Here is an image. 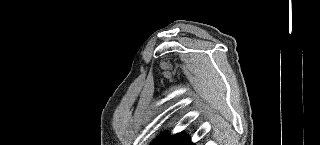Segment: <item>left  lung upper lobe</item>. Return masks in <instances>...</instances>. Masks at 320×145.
I'll use <instances>...</instances> for the list:
<instances>
[{
    "label": "left lung upper lobe",
    "mask_w": 320,
    "mask_h": 145,
    "mask_svg": "<svg viewBox=\"0 0 320 145\" xmlns=\"http://www.w3.org/2000/svg\"><path fill=\"white\" fill-rule=\"evenodd\" d=\"M187 137L184 133H178L173 136L162 135L159 139L151 145H180L181 142Z\"/></svg>",
    "instance_id": "5c2ea615"
}]
</instances>
